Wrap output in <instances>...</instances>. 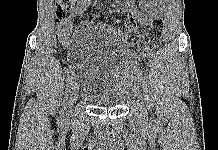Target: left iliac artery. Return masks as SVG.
<instances>
[{"label": "left iliac artery", "mask_w": 218, "mask_h": 150, "mask_svg": "<svg viewBox=\"0 0 218 150\" xmlns=\"http://www.w3.org/2000/svg\"><path fill=\"white\" fill-rule=\"evenodd\" d=\"M138 74L140 82L142 83L143 88H145V78L142 76L143 73L140 71Z\"/></svg>", "instance_id": "obj_1"}]
</instances>
